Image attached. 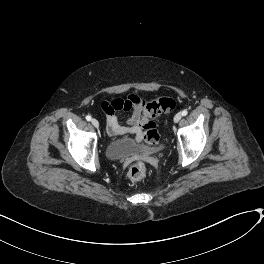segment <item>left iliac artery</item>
<instances>
[{
    "label": "left iliac artery",
    "instance_id": "left-iliac-artery-1",
    "mask_svg": "<svg viewBox=\"0 0 264 264\" xmlns=\"http://www.w3.org/2000/svg\"><path fill=\"white\" fill-rule=\"evenodd\" d=\"M181 114H182V116H186V115L188 114V112H187V110H183V111L181 112Z\"/></svg>",
    "mask_w": 264,
    "mask_h": 264
}]
</instances>
